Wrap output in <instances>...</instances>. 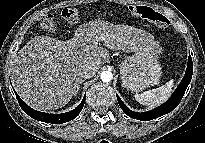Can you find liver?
Returning <instances> with one entry per match:
<instances>
[{"label":"liver","instance_id":"obj_1","mask_svg":"<svg viewBox=\"0 0 205 143\" xmlns=\"http://www.w3.org/2000/svg\"><path fill=\"white\" fill-rule=\"evenodd\" d=\"M103 42L104 47L98 46ZM157 45L154 36L132 26L92 20L80 25L72 39L36 36L14 56L12 83L32 108L46 111L65 106L80 87L86 65L98 69L110 59L108 49L133 53Z\"/></svg>","mask_w":205,"mask_h":143}]
</instances>
